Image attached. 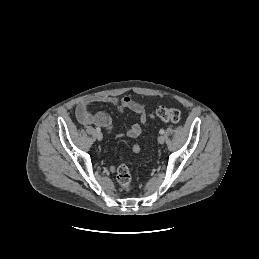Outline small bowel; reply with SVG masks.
<instances>
[{
  "mask_svg": "<svg viewBox=\"0 0 259 259\" xmlns=\"http://www.w3.org/2000/svg\"><path fill=\"white\" fill-rule=\"evenodd\" d=\"M94 102L109 103L114 106L119 112L130 110L139 116V120L142 124L146 123L147 116L145 112V106L133 100L130 97H123L121 99L110 96H90L82 100L76 107V117L84 125H97L104 128L107 132L112 129L111 117L106 112H98L92 114L89 110V106ZM141 134V126L138 123H134L125 133V136L129 138H136ZM133 152H139V146L134 145L132 147ZM111 171L114 168L111 167Z\"/></svg>",
  "mask_w": 259,
  "mask_h": 259,
  "instance_id": "c3829d8e",
  "label": "small bowel"
}]
</instances>
